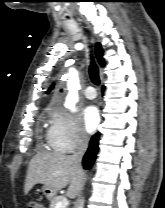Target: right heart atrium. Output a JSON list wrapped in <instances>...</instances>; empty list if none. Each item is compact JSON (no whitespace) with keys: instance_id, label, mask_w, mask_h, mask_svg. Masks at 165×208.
Returning a JSON list of instances; mask_svg holds the SVG:
<instances>
[{"instance_id":"obj_1","label":"right heart atrium","mask_w":165,"mask_h":208,"mask_svg":"<svg viewBox=\"0 0 165 208\" xmlns=\"http://www.w3.org/2000/svg\"><path fill=\"white\" fill-rule=\"evenodd\" d=\"M50 117L48 141L56 152L68 154L87 142V135L75 116L53 107Z\"/></svg>"}]
</instances>
